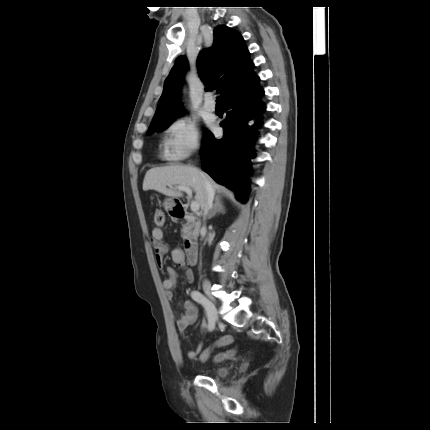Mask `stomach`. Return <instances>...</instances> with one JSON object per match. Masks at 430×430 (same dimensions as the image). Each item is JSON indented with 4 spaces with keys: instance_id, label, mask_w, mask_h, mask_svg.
Here are the masks:
<instances>
[{
    "instance_id": "stomach-1",
    "label": "stomach",
    "mask_w": 430,
    "mask_h": 430,
    "mask_svg": "<svg viewBox=\"0 0 430 430\" xmlns=\"http://www.w3.org/2000/svg\"><path fill=\"white\" fill-rule=\"evenodd\" d=\"M165 209L166 210H170L171 206H172V200H166L164 203Z\"/></svg>"
}]
</instances>
